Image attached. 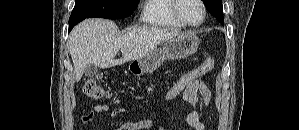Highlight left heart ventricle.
Instances as JSON below:
<instances>
[{
	"label": "left heart ventricle",
	"instance_id": "obj_1",
	"mask_svg": "<svg viewBox=\"0 0 299 130\" xmlns=\"http://www.w3.org/2000/svg\"><path fill=\"white\" fill-rule=\"evenodd\" d=\"M179 11L182 17L190 23H197L202 17V9L197 0H181Z\"/></svg>",
	"mask_w": 299,
	"mask_h": 130
}]
</instances>
